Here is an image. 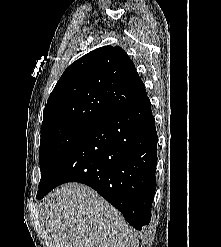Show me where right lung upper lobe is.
Listing matches in <instances>:
<instances>
[{
	"label": "right lung upper lobe",
	"instance_id": "cb5924a9",
	"mask_svg": "<svg viewBox=\"0 0 221 247\" xmlns=\"http://www.w3.org/2000/svg\"><path fill=\"white\" fill-rule=\"evenodd\" d=\"M146 96L134 63L122 48H97L62 74L44 108L41 130L70 123L95 126Z\"/></svg>",
	"mask_w": 221,
	"mask_h": 247
}]
</instances>
